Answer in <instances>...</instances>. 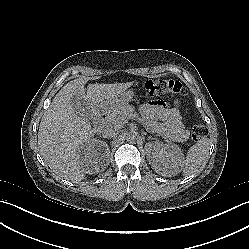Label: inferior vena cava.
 Here are the masks:
<instances>
[{"instance_id": "1", "label": "inferior vena cava", "mask_w": 249, "mask_h": 249, "mask_svg": "<svg viewBox=\"0 0 249 249\" xmlns=\"http://www.w3.org/2000/svg\"><path fill=\"white\" fill-rule=\"evenodd\" d=\"M118 131L116 130V128L114 127H110L109 129L104 131V134L107 136H113V134H115V132Z\"/></svg>"}]
</instances>
